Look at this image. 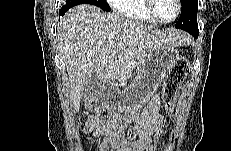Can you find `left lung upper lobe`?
<instances>
[{
  "instance_id": "left-lung-upper-lobe-1",
  "label": "left lung upper lobe",
  "mask_w": 231,
  "mask_h": 151,
  "mask_svg": "<svg viewBox=\"0 0 231 151\" xmlns=\"http://www.w3.org/2000/svg\"><path fill=\"white\" fill-rule=\"evenodd\" d=\"M182 10L179 20L175 27L178 29L190 32L192 30H198L197 24V0H181Z\"/></svg>"
}]
</instances>
